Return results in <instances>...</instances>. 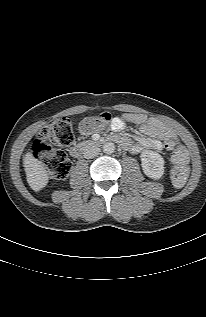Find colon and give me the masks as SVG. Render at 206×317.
Listing matches in <instances>:
<instances>
[{
  "label": "colon",
  "mask_w": 206,
  "mask_h": 317,
  "mask_svg": "<svg viewBox=\"0 0 206 317\" xmlns=\"http://www.w3.org/2000/svg\"><path fill=\"white\" fill-rule=\"evenodd\" d=\"M112 116L102 112L85 118L80 124L83 134H92L105 130ZM74 142L72 122L68 118H60L51 125L43 128L37 135L31 147V155L40 160L48 174L54 179H64L71 169V162L66 153L57 148L70 146ZM167 148H174L172 181L176 186L185 183L189 173V154L183 146H177L175 141H170Z\"/></svg>",
  "instance_id": "5ec220e1"
}]
</instances>
